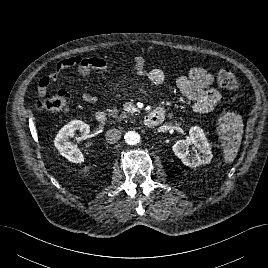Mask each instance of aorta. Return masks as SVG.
<instances>
[{
  "mask_svg": "<svg viewBox=\"0 0 268 268\" xmlns=\"http://www.w3.org/2000/svg\"><path fill=\"white\" fill-rule=\"evenodd\" d=\"M125 142L129 145H136L140 142V135L135 131H128L124 135Z\"/></svg>",
  "mask_w": 268,
  "mask_h": 268,
  "instance_id": "obj_1",
  "label": "aorta"
}]
</instances>
